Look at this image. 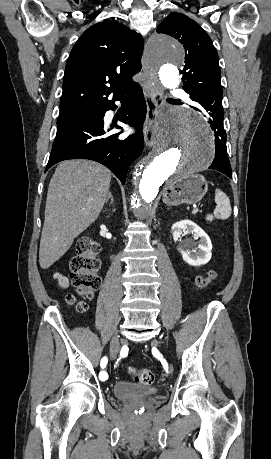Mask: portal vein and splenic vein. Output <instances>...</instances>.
<instances>
[{
    "mask_svg": "<svg viewBox=\"0 0 271 459\" xmlns=\"http://www.w3.org/2000/svg\"><path fill=\"white\" fill-rule=\"evenodd\" d=\"M196 212H197V210L194 209L193 212H192V214H196Z\"/></svg>",
    "mask_w": 271,
    "mask_h": 459,
    "instance_id": "obj_1",
    "label": "portal vein and splenic vein"
}]
</instances>
